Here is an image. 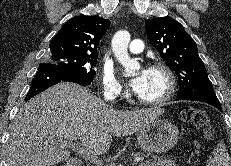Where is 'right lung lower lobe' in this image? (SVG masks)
<instances>
[{
    "label": "right lung lower lobe",
    "mask_w": 231,
    "mask_h": 166,
    "mask_svg": "<svg viewBox=\"0 0 231 166\" xmlns=\"http://www.w3.org/2000/svg\"><path fill=\"white\" fill-rule=\"evenodd\" d=\"M61 81L74 82L83 86L90 85L92 82L83 76L70 72L62 67L50 63H41L32 80L31 88L27 93L25 100L27 101L31 99L35 95Z\"/></svg>",
    "instance_id": "98d812e1"
}]
</instances>
